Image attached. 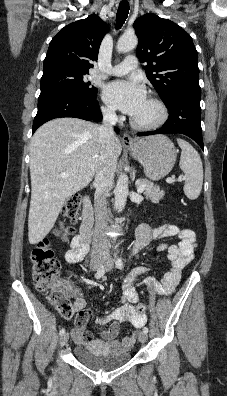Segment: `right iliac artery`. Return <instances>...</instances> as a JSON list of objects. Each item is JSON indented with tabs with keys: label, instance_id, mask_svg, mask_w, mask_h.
<instances>
[{
	"label": "right iliac artery",
	"instance_id": "82829eb1",
	"mask_svg": "<svg viewBox=\"0 0 227 396\" xmlns=\"http://www.w3.org/2000/svg\"><path fill=\"white\" fill-rule=\"evenodd\" d=\"M105 272H106V269H105V268H102V269L98 270V271L96 272V274H95V278H97V279L101 278V277L105 274ZM64 333H65V329L62 328V329L60 330V335H63Z\"/></svg>",
	"mask_w": 227,
	"mask_h": 396
}]
</instances>
